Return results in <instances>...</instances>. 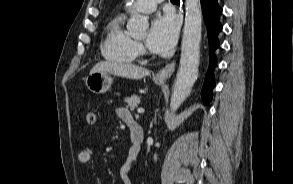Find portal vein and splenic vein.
<instances>
[{"label":"portal vein and splenic vein","mask_w":293,"mask_h":184,"mask_svg":"<svg viewBox=\"0 0 293 184\" xmlns=\"http://www.w3.org/2000/svg\"><path fill=\"white\" fill-rule=\"evenodd\" d=\"M137 112H138L139 114H142V113H144V109H143V108H138Z\"/></svg>","instance_id":"1"}]
</instances>
